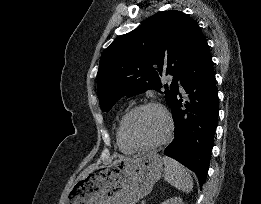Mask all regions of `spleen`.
<instances>
[{
	"instance_id": "spleen-1",
	"label": "spleen",
	"mask_w": 261,
	"mask_h": 204,
	"mask_svg": "<svg viewBox=\"0 0 261 204\" xmlns=\"http://www.w3.org/2000/svg\"><path fill=\"white\" fill-rule=\"evenodd\" d=\"M164 178L165 180L178 190L190 193L193 189V180L187 169L176 160L164 157Z\"/></svg>"
}]
</instances>
